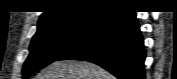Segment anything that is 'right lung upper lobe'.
Wrapping results in <instances>:
<instances>
[{
	"label": "right lung upper lobe",
	"mask_w": 177,
	"mask_h": 79,
	"mask_svg": "<svg viewBox=\"0 0 177 79\" xmlns=\"http://www.w3.org/2000/svg\"><path fill=\"white\" fill-rule=\"evenodd\" d=\"M52 3V9L40 16L38 27L56 21L103 15L110 10L124 7L123 2L104 0H60Z\"/></svg>",
	"instance_id": "cb5924a9"
}]
</instances>
